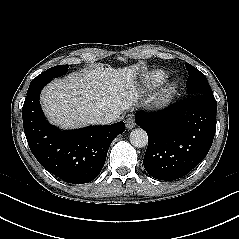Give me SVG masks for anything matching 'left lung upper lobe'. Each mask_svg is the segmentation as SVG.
I'll use <instances>...</instances> for the list:
<instances>
[{
  "instance_id": "1",
  "label": "left lung upper lobe",
  "mask_w": 239,
  "mask_h": 239,
  "mask_svg": "<svg viewBox=\"0 0 239 239\" xmlns=\"http://www.w3.org/2000/svg\"><path fill=\"white\" fill-rule=\"evenodd\" d=\"M185 66L189 74L187 80V92L189 96L213 95L206 76L189 63H185Z\"/></svg>"
}]
</instances>
